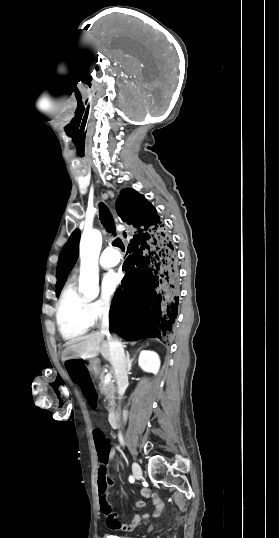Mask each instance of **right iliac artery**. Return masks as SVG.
Returning a JSON list of instances; mask_svg holds the SVG:
<instances>
[{"label": "right iliac artery", "instance_id": "82829eb1", "mask_svg": "<svg viewBox=\"0 0 279 538\" xmlns=\"http://www.w3.org/2000/svg\"><path fill=\"white\" fill-rule=\"evenodd\" d=\"M129 481H130L131 483H133V482H134V477H133V476H130V477H129Z\"/></svg>", "mask_w": 279, "mask_h": 538}]
</instances>
